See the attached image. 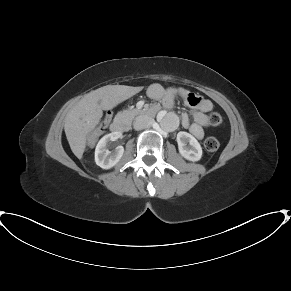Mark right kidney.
I'll return each instance as SVG.
<instances>
[{"mask_svg": "<svg viewBox=\"0 0 291 291\" xmlns=\"http://www.w3.org/2000/svg\"><path fill=\"white\" fill-rule=\"evenodd\" d=\"M122 136L120 132H112L103 136L95 149V162L102 169H110L115 166L124 153L123 146H117L113 151L107 149V145L111 141H115Z\"/></svg>", "mask_w": 291, "mask_h": 291, "instance_id": "ca27d5eb", "label": "right kidney"}]
</instances>
